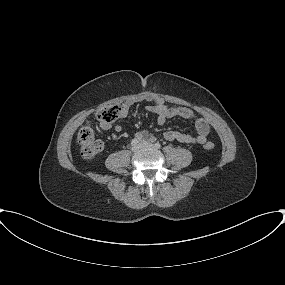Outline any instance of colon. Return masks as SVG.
<instances>
[{"mask_svg":"<svg viewBox=\"0 0 285 285\" xmlns=\"http://www.w3.org/2000/svg\"><path fill=\"white\" fill-rule=\"evenodd\" d=\"M123 107L121 104H111L97 111L96 117L103 124H111L122 116ZM77 142L80 147V153L83 158L94 160L102 151L103 143L95 135L91 126L82 127L77 135ZM206 150L214 148L213 142H206L204 145Z\"/></svg>","mask_w":285,"mask_h":285,"instance_id":"1","label":"colon"}]
</instances>
